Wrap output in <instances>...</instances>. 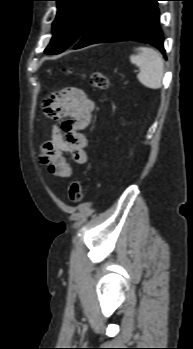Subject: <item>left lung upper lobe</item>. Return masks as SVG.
Returning a JSON list of instances; mask_svg holds the SVG:
<instances>
[{
	"instance_id": "5c2ea615",
	"label": "left lung upper lobe",
	"mask_w": 193,
	"mask_h": 349,
	"mask_svg": "<svg viewBox=\"0 0 193 349\" xmlns=\"http://www.w3.org/2000/svg\"><path fill=\"white\" fill-rule=\"evenodd\" d=\"M57 15L53 22V37L45 49L58 54L80 39L109 0H54Z\"/></svg>"
}]
</instances>
